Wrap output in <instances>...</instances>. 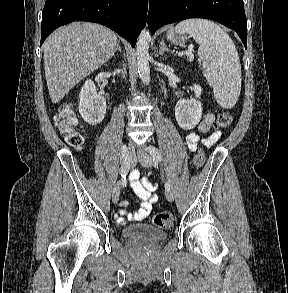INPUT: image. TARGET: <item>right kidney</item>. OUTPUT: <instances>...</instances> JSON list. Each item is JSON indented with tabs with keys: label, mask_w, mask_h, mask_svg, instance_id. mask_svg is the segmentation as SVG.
<instances>
[{
	"label": "right kidney",
	"mask_w": 288,
	"mask_h": 293,
	"mask_svg": "<svg viewBox=\"0 0 288 293\" xmlns=\"http://www.w3.org/2000/svg\"><path fill=\"white\" fill-rule=\"evenodd\" d=\"M79 112L84 121L90 125H97L104 119L106 100L97 93L92 80H87L79 94Z\"/></svg>",
	"instance_id": "right-kidney-1"
}]
</instances>
